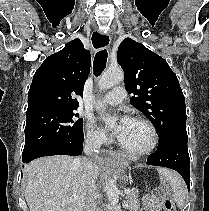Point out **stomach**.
Instances as JSON below:
<instances>
[{
    "mask_svg": "<svg viewBox=\"0 0 209 211\" xmlns=\"http://www.w3.org/2000/svg\"><path fill=\"white\" fill-rule=\"evenodd\" d=\"M119 166H120V172L122 174V179L124 180V182H128V176L125 173L127 167L129 166V162L127 160L121 159L118 162Z\"/></svg>",
    "mask_w": 209,
    "mask_h": 211,
    "instance_id": "stomach-1",
    "label": "stomach"
}]
</instances>
